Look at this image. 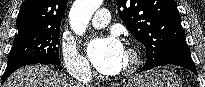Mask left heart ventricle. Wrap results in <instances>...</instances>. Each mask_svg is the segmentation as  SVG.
<instances>
[{
    "label": "left heart ventricle",
    "instance_id": "obj_1",
    "mask_svg": "<svg viewBox=\"0 0 205 87\" xmlns=\"http://www.w3.org/2000/svg\"><path fill=\"white\" fill-rule=\"evenodd\" d=\"M128 61H129V55H128V53L125 51V52H124L123 59H122L121 68H120V69L125 68V66L128 64Z\"/></svg>",
    "mask_w": 205,
    "mask_h": 87
}]
</instances>
